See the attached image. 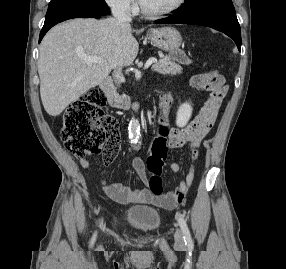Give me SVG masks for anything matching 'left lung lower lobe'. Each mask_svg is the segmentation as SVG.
Listing matches in <instances>:
<instances>
[{
	"label": "left lung lower lobe",
	"instance_id": "0a47b994",
	"mask_svg": "<svg viewBox=\"0 0 286 269\" xmlns=\"http://www.w3.org/2000/svg\"><path fill=\"white\" fill-rule=\"evenodd\" d=\"M155 23L193 24L211 27L231 37L241 50V30L235 10H209L181 15L177 12L173 16L155 21Z\"/></svg>",
	"mask_w": 286,
	"mask_h": 269
}]
</instances>
